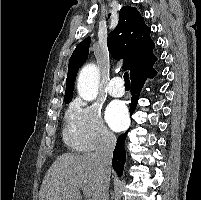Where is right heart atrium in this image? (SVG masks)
Masks as SVG:
<instances>
[{
    "instance_id": "d8ad5b80",
    "label": "right heart atrium",
    "mask_w": 201,
    "mask_h": 200,
    "mask_svg": "<svg viewBox=\"0 0 201 200\" xmlns=\"http://www.w3.org/2000/svg\"><path fill=\"white\" fill-rule=\"evenodd\" d=\"M65 140L76 150L94 151L111 148L116 138L97 105L76 99L66 113Z\"/></svg>"
}]
</instances>
